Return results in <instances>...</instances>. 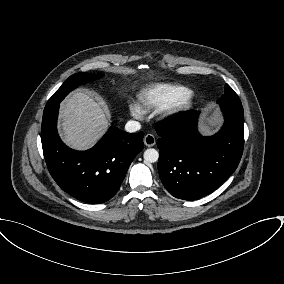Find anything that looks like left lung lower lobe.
Wrapping results in <instances>:
<instances>
[{"instance_id":"0a47b994","label":"left lung lower lobe","mask_w":284,"mask_h":284,"mask_svg":"<svg viewBox=\"0 0 284 284\" xmlns=\"http://www.w3.org/2000/svg\"><path fill=\"white\" fill-rule=\"evenodd\" d=\"M225 122L213 136L197 130L198 111L157 123L158 172L176 198L196 200L215 191L236 170L244 147L243 107L220 104Z\"/></svg>"}]
</instances>
